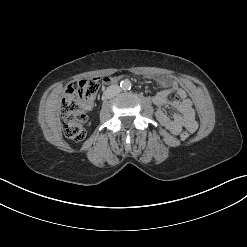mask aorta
I'll use <instances>...</instances> for the list:
<instances>
[{
  "label": "aorta",
  "instance_id": "762f6f07",
  "mask_svg": "<svg viewBox=\"0 0 247 247\" xmlns=\"http://www.w3.org/2000/svg\"><path fill=\"white\" fill-rule=\"evenodd\" d=\"M120 87L122 90L127 91L131 89V82L128 79L121 81Z\"/></svg>",
  "mask_w": 247,
  "mask_h": 247
}]
</instances>
